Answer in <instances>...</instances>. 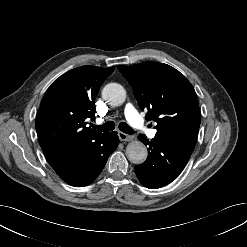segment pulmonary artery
Here are the masks:
<instances>
[{
	"label": "pulmonary artery",
	"instance_id": "1",
	"mask_svg": "<svg viewBox=\"0 0 247 247\" xmlns=\"http://www.w3.org/2000/svg\"><path fill=\"white\" fill-rule=\"evenodd\" d=\"M125 117L130 125L138 131L144 132L149 138H154L157 130L146 127L143 118L140 116L133 104L128 103L124 109Z\"/></svg>",
	"mask_w": 247,
	"mask_h": 247
}]
</instances>
